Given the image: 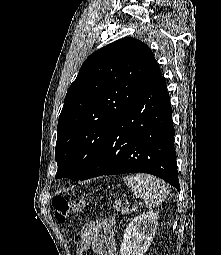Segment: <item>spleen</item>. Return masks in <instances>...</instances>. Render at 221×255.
<instances>
[{
  "label": "spleen",
  "instance_id": "1",
  "mask_svg": "<svg viewBox=\"0 0 221 255\" xmlns=\"http://www.w3.org/2000/svg\"><path fill=\"white\" fill-rule=\"evenodd\" d=\"M124 182L136 197L144 200L148 208L162 204L169 194L168 185L148 174H132L124 177Z\"/></svg>",
  "mask_w": 221,
  "mask_h": 255
}]
</instances>
